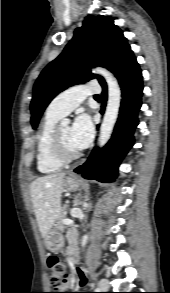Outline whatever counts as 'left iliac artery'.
<instances>
[{
  "instance_id": "44dca946",
  "label": "left iliac artery",
  "mask_w": 170,
  "mask_h": 293,
  "mask_svg": "<svg viewBox=\"0 0 170 293\" xmlns=\"http://www.w3.org/2000/svg\"><path fill=\"white\" fill-rule=\"evenodd\" d=\"M98 289L103 290L101 287H99Z\"/></svg>"
}]
</instances>
